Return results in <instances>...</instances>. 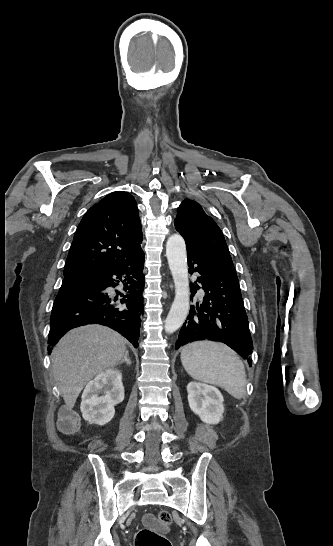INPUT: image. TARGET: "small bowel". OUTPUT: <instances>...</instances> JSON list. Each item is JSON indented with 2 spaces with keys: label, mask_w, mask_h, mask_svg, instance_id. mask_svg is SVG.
<instances>
[{
  "label": "small bowel",
  "mask_w": 333,
  "mask_h": 546,
  "mask_svg": "<svg viewBox=\"0 0 333 546\" xmlns=\"http://www.w3.org/2000/svg\"><path fill=\"white\" fill-rule=\"evenodd\" d=\"M73 422H75V418L72 417L71 415L66 416V417H64L62 419H59L58 423H57L58 429L64 434H69L74 430ZM146 521L151 522L152 517L150 515H148L146 517Z\"/></svg>",
  "instance_id": "1"
}]
</instances>
